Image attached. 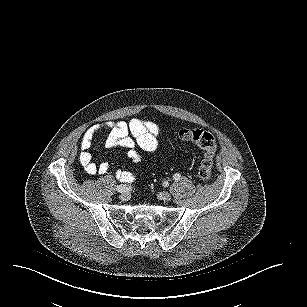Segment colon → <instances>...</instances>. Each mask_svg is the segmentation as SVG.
<instances>
[{
  "instance_id": "obj_1",
  "label": "colon",
  "mask_w": 307,
  "mask_h": 307,
  "mask_svg": "<svg viewBox=\"0 0 307 307\" xmlns=\"http://www.w3.org/2000/svg\"><path fill=\"white\" fill-rule=\"evenodd\" d=\"M176 138L196 145L203 151V159L199 166V177L202 181L208 182L212 178V167L217 151V144L214 136L201 129H181L177 132Z\"/></svg>"
}]
</instances>
